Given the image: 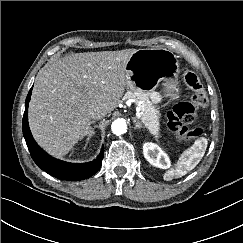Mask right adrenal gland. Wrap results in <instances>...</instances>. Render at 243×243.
I'll list each match as a JSON object with an SVG mask.
<instances>
[{"label":"right adrenal gland","mask_w":243,"mask_h":243,"mask_svg":"<svg viewBox=\"0 0 243 243\" xmlns=\"http://www.w3.org/2000/svg\"><path fill=\"white\" fill-rule=\"evenodd\" d=\"M92 123H94V121H91V122H90V125H91ZM93 134H94V128L89 127V130H88V132H87V134H86V136H87V141L91 138V136H92Z\"/></svg>","instance_id":"right-adrenal-gland-1"}]
</instances>
